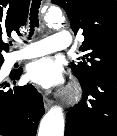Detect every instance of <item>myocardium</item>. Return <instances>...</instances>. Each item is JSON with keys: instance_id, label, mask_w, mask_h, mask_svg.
<instances>
[{"instance_id": "obj_1", "label": "myocardium", "mask_w": 117, "mask_h": 136, "mask_svg": "<svg viewBox=\"0 0 117 136\" xmlns=\"http://www.w3.org/2000/svg\"><path fill=\"white\" fill-rule=\"evenodd\" d=\"M78 97H79V91L78 89L75 88L66 93L65 99L67 102L70 103V102L77 100Z\"/></svg>"}]
</instances>
